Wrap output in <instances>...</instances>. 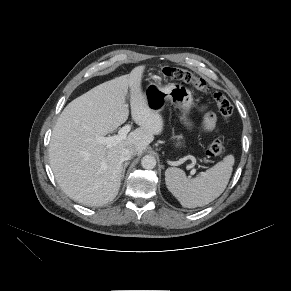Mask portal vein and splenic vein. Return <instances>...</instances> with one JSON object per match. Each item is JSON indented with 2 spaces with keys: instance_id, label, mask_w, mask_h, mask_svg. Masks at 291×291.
<instances>
[{
  "instance_id": "portal-vein-and-splenic-vein-1",
  "label": "portal vein and splenic vein",
  "mask_w": 291,
  "mask_h": 291,
  "mask_svg": "<svg viewBox=\"0 0 291 291\" xmlns=\"http://www.w3.org/2000/svg\"><path fill=\"white\" fill-rule=\"evenodd\" d=\"M131 130L130 125L123 126L119 131L117 135L109 136V137H96V141L98 143L104 144L107 147L114 146L121 142L123 139L126 138L128 132ZM191 167H194V164L191 165ZM195 169L191 171V175L195 174Z\"/></svg>"
}]
</instances>
